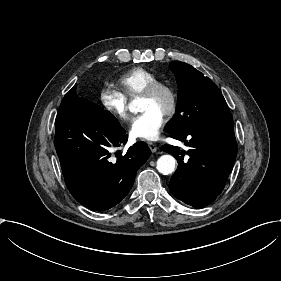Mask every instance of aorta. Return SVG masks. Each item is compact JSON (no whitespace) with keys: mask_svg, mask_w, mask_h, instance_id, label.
<instances>
[{"mask_svg":"<svg viewBox=\"0 0 281 281\" xmlns=\"http://www.w3.org/2000/svg\"><path fill=\"white\" fill-rule=\"evenodd\" d=\"M129 110L132 113H135L138 111V103L136 100H133L129 104ZM176 167V160L173 156L167 154V155H162L158 160H157V170L162 173L163 175H168L171 174L175 171Z\"/></svg>","mask_w":281,"mask_h":281,"instance_id":"obj_1","label":"aorta"}]
</instances>
